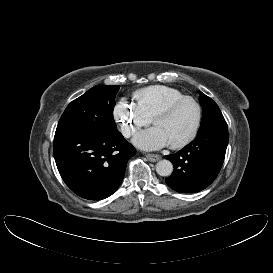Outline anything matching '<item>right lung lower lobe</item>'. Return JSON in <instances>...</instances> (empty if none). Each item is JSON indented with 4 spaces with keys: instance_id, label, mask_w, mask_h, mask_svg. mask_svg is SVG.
<instances>
[{
    "instance_id": "98d812e1",
    "label": "right lung lower lobe",
    "mask_w": 273,
    "mask_h": 273,
    "mask_svg": "<svg viewBox=\"0 0 273 273\" xmlns=\"http://www.w3.org/2000/svg\"><path fill=\"white\" fill-rule=\"evenodd\" d=\"M136 153L120 132L68 133L54 137V158L65 184L78 196L102 200L120 186Z\"/></svg>"
}]
</instances>
